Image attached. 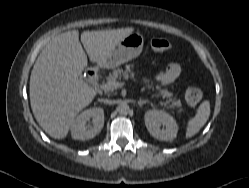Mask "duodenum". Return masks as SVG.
<instances>
[{"label":"duodenum","instance_id":"duodenum-1","mask_svg":"<svg viewBox=\"0 0 249 188\" xmlns=\"http://www.w3.org/2000/svg\"><path fill=\"white\" fill-rule=\"evenodd\" d=\"M89 76H90V78H91L93 81H95V80L97 79V74H96V72H94V71H90V72H89Z\"/></svg>","mask_w":249,"mask_h":188}]
</instances>
